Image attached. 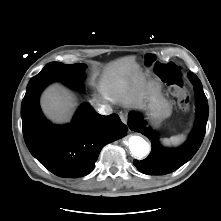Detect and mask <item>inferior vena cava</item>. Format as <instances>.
<instances>
[{"mask_svg":"<svg viewBox=\"0 0 221 221\" xmlns=\"http://www.w3.org/2000/svg\"><path fill=\"white\" fill-rule=\"evenodd\" d=\"M96 108L102 115H109L112 113V108L109 105L98 104Z\"/></svg>","mask_w":221,"mask_h":221,"instance_id":"inferior-vena-cava-1","label":"inferior vena cava"}]
</instances>
